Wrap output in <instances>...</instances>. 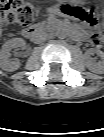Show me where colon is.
<instances>
[{"label":"colon","instance_id":"colon-1","mask_svg":"<svg viewBox=\"0 0 104 137\" xmlns=\"http://www.w3.org/2000/svg\"><path fill=\"white\" fill-rule=\"evenodd\" d=\"M63 10L93 25L99 22L100 12L97 7L74 8L64 6ZM1 13L7 24L27 26L34 19L35 7L28 0H1ZM92 41L96 46L101 45L103 41L102 33L100 31L95 32Z\"/></svg>","mask_w":104,"mask_h":137}]
</instances>
